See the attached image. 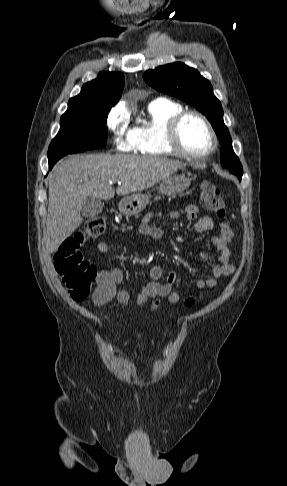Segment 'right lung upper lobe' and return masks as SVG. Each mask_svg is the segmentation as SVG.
Instances as JSON below:
<instances>
[{
	"label": "right lung upper lobe",
	"mask_w": 287,
	"mask_h": 486,
	"mask_svg": "<svg viewBox=\"0 0 287 486\" xmlns=\"http://www.w3.org/2000/svg\"><path fill=\"white\" fill-rule=\"evenodd\" d=\"M124 76L119 72H101L95 80L83 85L81 92L68 102V108L102 105L114 106L120 99Z\"/></svg>",
	"instance_id": "cb5924a9"
}]
</instances>
